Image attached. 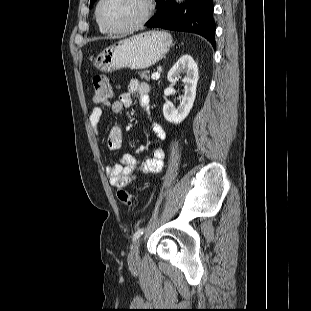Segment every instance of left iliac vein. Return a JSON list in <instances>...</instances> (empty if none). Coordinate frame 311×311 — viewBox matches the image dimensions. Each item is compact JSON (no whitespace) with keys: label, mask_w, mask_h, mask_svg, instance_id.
Segmentation results:
<instances>
[{"label":"left iliac vein","mask_w":311,"mask_h":311,"mask_svg":"<svg viewBox=\"0 0 311 311\" xmlns=\"http://www.w3.org/2000/svg\"><path fill=\"white\" fill-rule=\"evenodd\" d=\"M140 244H141V240H137L130 253H129V256H128V260L130 263H138L139 260H140V257H139V250H140Z\"/></svg>","instance_id":"1"}]
</instances>
